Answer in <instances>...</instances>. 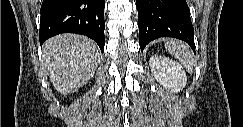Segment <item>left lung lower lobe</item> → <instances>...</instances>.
Listing matches in <instances>:
<instances>
[{
  "label": "left lung lower lobe",
  "mask_w": 243,
  "mask_h": 127,
  "mask_svg": "<svg viewBox=\"0 0 243 127\" xmlns=\"http://www.w3.org/2000/svg\"><path fill=\"white\" fill-rule=\"evenodd\" d=\"M140 48L159 37L187 42L194 50V28L186 0H136Z\"/></svg>",
  "instance_id": "left-lung-lower-lobe-1"
}]
</instances>
